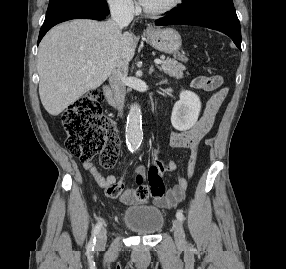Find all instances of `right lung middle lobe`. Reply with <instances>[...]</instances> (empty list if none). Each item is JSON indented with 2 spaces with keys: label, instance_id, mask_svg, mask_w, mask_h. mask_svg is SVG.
I'll use <instances>...</instances> for the list:
<instances>
[{
  "label": "right lung middle lobe",
  "instance_id": "obj_1",
  "mask_svg": "<svg viewBox=\"0 0 286 269\" xmlns=\"http://www.w3.org/2000/svg\"><path fill=\"white\" fill-rule=\"evenodd\" d=\"M76 10L109 14L106 0H50L45 19Z\"/></svg>",
  "mask_w": 286,
  "mask_h": 269
}]
</instances>
